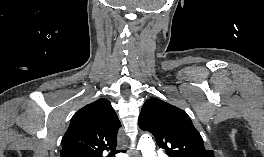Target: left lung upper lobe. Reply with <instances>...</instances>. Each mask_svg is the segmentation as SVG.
<instances>
[{
	"instance_id": "5c2ea615",
	"label": "left lung upper lobe",
	"mask_w": 264,
	"mask_h": 157,
	"mask_svg": "<svg viewBox=\"0 0 264 157\" xmlns=\"http://www.w3.org/2000/svg\"><path fill=\"white\" fill-rule=\"evenodd\" d=\"M138 122L142 130L154 135L157 145L169 157H214L212 150L205 149L190 117L180 108L150 98L145 101Z\"/></svg>"
}]
</instances>
